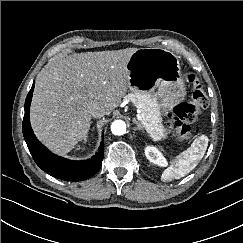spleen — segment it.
<instances>
[{
	"mask_svg": "<svg viewBox=\"0 0 243 243\" xmlns=\"http://www.w3.org/2000/svg\"><path fill=\"white\" fill-rule=\"evenodd\" d=\"M208 137L201 135L196 138L191 144L190 148L180 153L171 165L165 169L161 175V180L164 182L179 179L192 171L200 160L203 158L207 146Z\"/></svg>",
	"mask_w": 243,
	"mask_h": 243,
	"instance_id": "1",
	"label": "spleen"
}]
</instances>
